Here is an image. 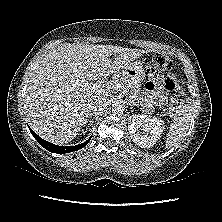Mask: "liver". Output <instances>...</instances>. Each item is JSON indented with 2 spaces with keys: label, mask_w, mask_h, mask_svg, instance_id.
<instances>
[{
  "label": "liver",
  "mask_w": 222,
  "mask_h": 222,
  "mask_svg": "<svg viewBox=\"0 0 222 222\" xmlns=\"http://www.w3.org/2000/svg\"><path fill=\"white\" fill-rule=\"evenodd\" d=\"M146 52L92 44H64L50 51L33 71L26 91L24 109L30 127L46 141L58 145L70 142L86 124L91 101L109 93L80 84L122 74L131 61Z\"/></svg>",
  "instance_id": "obj_1"
}]
</instances>
